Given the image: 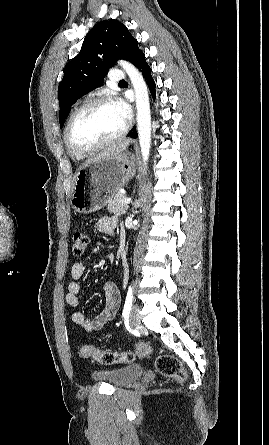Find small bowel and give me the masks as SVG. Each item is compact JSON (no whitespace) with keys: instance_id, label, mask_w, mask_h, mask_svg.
<instances>
[{"instance_id":"c3829d8e","label":"small bowel","mask_w":269,"mask_h":445,"mask_svg":"<svg viewBox=\"0 0 269 445\" xmlns=\"http://www.w3.org/2000/svg\"><path fill=\"white\" fill-rule=\"evenodd\" d=\"M96 228L99 232L107 235H115L117 231V220L110 217H102L97 221ZM108 260L112 261L113 256L109 255ZM85 265L83 262H76L71 268V280L67 285L65 300L67 304L73 308L81 305L79 294L81 292L80 280L84 276ZM106 301L103 309L94 317L88 318L80 311L76 310L72 314V321L85 331L91 332L102 328L108 322L114 319L120 303V292L114 282L105 284Z\"/></svg>"}]
</instances>
